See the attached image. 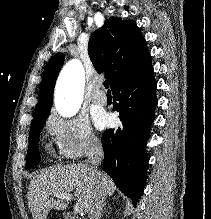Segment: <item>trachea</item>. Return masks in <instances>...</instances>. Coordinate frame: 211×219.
Masks as SVG:
<instances>
[{
	"instance_id": "trachea-1",
	"label": "trachea",
	"mask_w": 211,
	"mask_h": 219,
	"mask_svg": "<svg viewBox=\"0 0 211 219\" xmlns=\"http://www.w3.org/2000/svg\"><path fill=\"white\" fill-rule=\"evenodd\" d=\"M104 87H105L106 89L109 88V82H108V81H105V82H104ZM108 91H109V90H108Z\"/></svg>"
}]
</instances>
